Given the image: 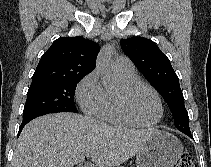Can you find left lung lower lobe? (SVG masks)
<instances>
[{
	"instance_id": "obj_1",
	"label": "left lung lower lobe",
	"mask_w": 211,
	"mask_h": 167,
	"mask_svg": "<svg viewBox=\"0 0 211 167\" xmlns=\"http://www.w3.org/2000/svg\"><path fill=\"white\" fill-rule=\"evenodd\" d=\"M183 133H185L186 135H188L189 137H192V135H191V132L190 131H185V132H183Z\"/></svg>"
}]
</instances>
